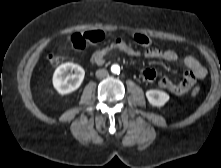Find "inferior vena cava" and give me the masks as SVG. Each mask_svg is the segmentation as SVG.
I'll list each match as a JSON object with an SVG mask.
<instances>
[{
	"label": "inferior vena cava",
	"instance_id": "602c4592",
	"mask_svg": "<svg viewBox=\"0 0 221 168\" xmlns=\"http://www.w3.org/2000/svg\"><path fill=\"white\" fill-rule=\"evenodd\" d=\"M107 76H108V71L105 70V69H99V70L96 71V77L97 78L102 79V78H105Z\"/></svg>",
	"mask_w": 221,
	"mask_h": 168
}]
</instances>
